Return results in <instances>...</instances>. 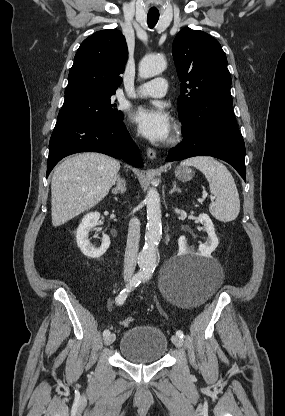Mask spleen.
Returning <instances> with one entry per match:
<instances>
[{"label": "spleen", "mask_w": 285, "mask_h": 416, "mask_svg": "<svg viewBox=\"0 0 285 416\" xmlns=\"http://www.w3.org/2000/svg\"><path fill=\"white\" fill-rule=\"evenodd\" d=\"M180 166H194L209 182L212 196L209 212L219 222H232L240 212V200L236 184L227 168L209 156H197L183 160Z\"/></svg>", "instance_id": "1"}]
</instances>
